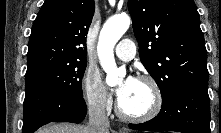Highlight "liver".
I'll use <instances>...</instances> for the list:
<instances>
[{"label": "liver", "instance_id": "6515ba94", "mask_svg": "<svg viewBox=\"0 0 221 133\" xmlns=\"http://www.w3.org/2000/svg\"><path fill=\"white\" fill-rule=\"evenodd\" d=\"M37 133H91V130L88 126L58 123L41 128Z\"/></svg>", "mask_w": 221, "mask_h": 133}]
</instances>
